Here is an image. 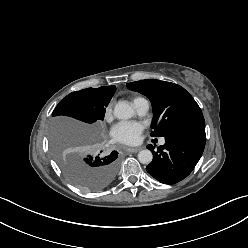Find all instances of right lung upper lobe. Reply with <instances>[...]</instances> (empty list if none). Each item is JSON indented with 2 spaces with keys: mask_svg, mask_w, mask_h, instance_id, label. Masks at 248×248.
Wrapping results in <instances>:
<instances>
[{
  "mask_svg": "<svg viewBox=\"0 0 248 248\" xmlns=\"http://www.w3.org/2000/svg\"><path fill=\"white\" fill-rule=\"evenodd\" d=\"M95 90L107 91V92L115 93L116 86H103V87H99V88H97Z\"/></svg>",
  "mask_w": 248,
  "mask_h": 248,
  "instance_id": "obj_1",
  "label": "right lung upper lobe"
}]
</instances>
